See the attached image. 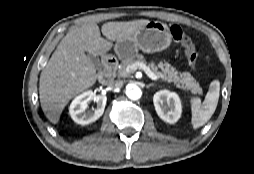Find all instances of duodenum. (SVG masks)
I'll return each instance as SVG.
<instances>
[{
    "instance_id": "1",
    "label": "duodenum",
    "mask_w": 254,
    "mask_h": 174,
    "mask_svg": "<svg viewBox=\"0 0 254 174\" xmlns=\"http://www.w3.org/2000/svg\"><path fill=\"white\" fill-rule=\"evenodd\" d=\"M118 62L113 56H108L103 60V69L98 75V81L102 85L113 83L117 71Z\"/></svg>"
}]
</instances>
